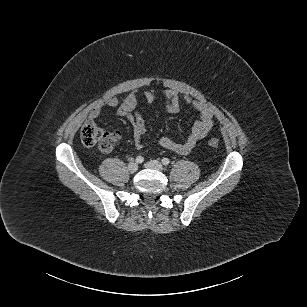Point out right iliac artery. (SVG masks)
I'll list each match as a JSON object with an SVG mask.
<instances>
[{
  "label": "right iliac artery",
  "instance_id": "right-iliac-artery-1",
  "mask_svg": "<svg viewBox=\"0 0 307 307\" xmlns=\"http://www.w3.org/2000/svg\"><path fill=\"white\" fill-rule=\"evenodd\" d=\"M135 161L136 163L141 164L144 161V158L142 156H137Z\"/></svg>",
  "mask_w": 307,
  "mask_h": 307
}]
</instances>
